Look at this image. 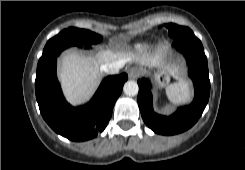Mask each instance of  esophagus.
<instances>
[{"label":"esophagus","instance_id":"34e87169","mask_svg":"<svg viewBox=\"0 0 245 170\" xmlns=\"http://www.w3.org/2000/svg\"><path fill=\"white\" fill-rule=\"evenodd\" d=\"M139 76V71L135 68L131 69L129 71V77L132 78V79H135Z\"/></svg>","mask_w":245,"mask_h":170}]
</instances>
